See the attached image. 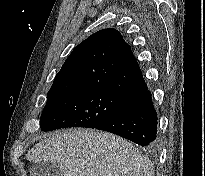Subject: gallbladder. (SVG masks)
<instances>
[{
    "label": "gallbladder",
    "instance_id": "1",
    "mask_svg": "<svg viewBox=\"0 0 205 176\" xmlns=\"http://www.w3.org/2000/svg\"><path fill=\"white\" fill-rule=\"evenodd\" d=\"M30 176H61L59 168L51 162L33 163L30 168Z\"/></svg>",
    "mask_w": 205,
    "mask_h": 176
}]
</instances>
